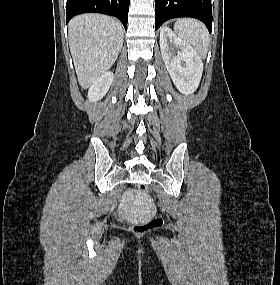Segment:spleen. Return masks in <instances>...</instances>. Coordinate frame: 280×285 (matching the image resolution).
I'll list each match as a JSON object with an SVG mask.
<instances>
[{
	"label": "spleen",
	"instance_id": "spleen-1",
	"mask_svg": "<svg viewBox=\"0 0 280 285\" xmlns=\"http://www.w3.org/2000/svg\"><path fill=\"white\" fill-rule=\"evenodd\" d=\"M177 35L191 45L201 58H205L209 46L208 30L195 19H179L174 24Z\"/></svg>",
	"mask_w": 280,
	"mask_h": 285
}]
</instances>
